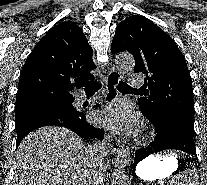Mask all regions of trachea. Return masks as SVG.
<instances>
[{"label": "trachea", "instance_id": "1", "mask_svg": "<svg viewBox=\"0 0 207 185\" xmlns=\"http://www.w3.org/2000/svg\"><path fill=\"white\" fill-rule=\"evenodd\" d=\"M100 88H101V84L96 81H91L85 84V92L89 94H93L97 92V90H99ZM117 88L118 90H137V89L130 87V85L124 82H120Z\"/></svg>", "mask_w": 207, "mask_h": 185}]
</instances>
